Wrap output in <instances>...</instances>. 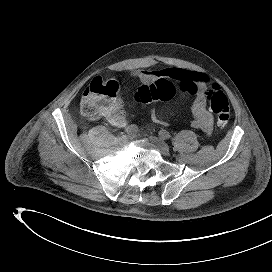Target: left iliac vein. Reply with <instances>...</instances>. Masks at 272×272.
Returning a JSON list of instances; mask_svg holds the SVG:
<instances>
[{
  "instance_id": "1",
  "label": "left iliac vein",
  "mask_w": 272,
  "mask_h": 272,
  "mask_svg": "<svg viewBox=\"0 0 272 272\" xmlns=\"http://www.w3.org/2000/svg\"><path fill=\"white\" fill-rule=\"evenodd\" d=\"M149 139L162 155L168 156L170 154L169 147L164 141L154 136H151Z\"/></svg>"
}]
</instances>
